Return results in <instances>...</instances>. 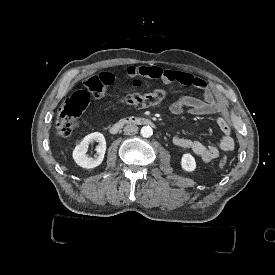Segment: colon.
Masks as SVG:
<instances>
[{"instance_id": "5ec220e1", "label": "colon", "mask_w": 275, "mask_h": 275, "mask_svg": "<svg viewBox=\"0 0 275 275\" xmlns=\"http://www.w3.org/2000/svg\"><path fill=\"white\" fill-rule=\"evenodd\" d=\"M86 86L96 97L103 96V93L108 92L110 89V87L102 83L99 75L91 76L87 80ZM164 97L165 91L163 89H156L150 93L128 96L124 98V102L131 106L149 107L160 103ZM89 102L90 93L88 91L85 89L74 91L57 112L55 119L56 131L63 136L71 135L78 120L88 107ZM217 161L222 167H226L229 163L228 158L224 155L218 156Z\"/></svg>"}]
</instances>
